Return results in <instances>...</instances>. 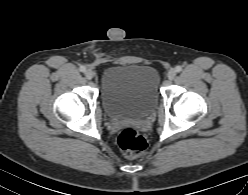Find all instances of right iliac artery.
I'll use <instances>...</instances> for the list:
<instances>
[{
	"label": "right iliac artery",
	"mask_w": 248,
	"mask_h": 195,
	"mask_svg": "<svg viewBox=\"0 0 248 195\" xmlns=\"http://www.w3.org/2000/svg\"><path fill=\"white\" fill-rule=\"evenodd\" d=\"M79 70H80L81 72H85V71H86V67H85V66H80Z\"/></svg>",
	"instance_id": "82829eb1"
}]
</instances>
